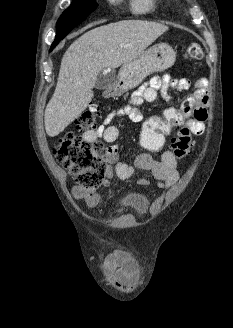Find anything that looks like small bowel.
<instances>
[{
  "mask_svg": "<svg viewBox=\"0 0 233 328\" xmlns=\"http://www.w3.org/2000/svg\"><path fill=\"white\" fill-rule=\"evenodd\" d=\"M207 83L206 78H198L193 84L194 92L184 100L179 109L185 115L188 127L194 135H202L205 131L208 107ZM191 85V81L187 78L175 79L170 75L153 77L147 84L133 92L129 104L108 114L101 125L96 129L86 131L83 138L89 142H96L99 138H103L106 142L113 143L119 137L118 128L110 125L115 117L126 116L131 121L138 122L142 119L140 105L157 102L160 95L169 98V89L183 91L189 89ZM106 160L108 167L106 169L107 179L103 182L104 186H108L109 179L114 176L122 180L128 179L136 170L151 173L158 188H170L179 178L177 158L170 149L164 150L159 160L153 158L149 153H142L135 158L133 164H127L118 160L117 147L111 146L107 149ZM138 184L147 186L149 180L140 178ZM72 196L76 201H84L88 207L93 208L102 200L103 191L76 186L72 189ZM105 266L109 273V282L113 287L121 290L125 287L135 286L137 263L129 252L125 250L114 252L106 258Z\"/></svg>",
  "mask_w": 233,
  "mask_h": 328,
  "instance_id": "c3829d8e",
  "label": "small bowel"
}]
</instances>
